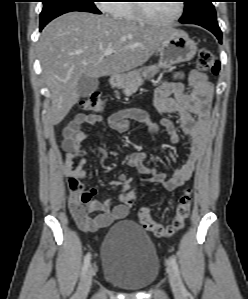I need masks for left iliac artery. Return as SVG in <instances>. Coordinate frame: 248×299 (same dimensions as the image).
I'll use <instances>...</instances> for the list:
<instances>
[{"mask_svg": "<svg viewBox=\"0 0 248 299\" xmlns=\"http://www.w3.org/2000/svg\"><path fill=\"white\" fill-rule=\"evenodd\" d=\"M170 263H171V266H172V268H173V270H174L176 276L178 277V280H179L180 285H181L182 293H183L184 295H187L188 292H187L185 286H184L183 283H182V280H181V277H180V272H179V268H178V264H177V262H176V259L173 258V257H170Z\"/></svg>", "mask_w": 248, "mask_h": 299, "instance_id": "left-iliac-artery-1", "label": "left iliac artery"}]
</instances>
